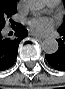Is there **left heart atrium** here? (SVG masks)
I'll return each instance as SVG.
<instances>
[{
	"label": "left heart atrium",
	"mask_w": 65,
	"mask_h": 89,
	"mask_svg": "<svg viewBox=\"0 0 65 89\" xmlns=\"http://www.w3.org/2000/svg\"><path fill=\"white\" fill-rule=\"evenodd\" d=\"M28 25L34 32L46 33L52 28L53 21L48 17H36L29 20Z\"/></svg>",
	"instance_id": "39dd6f15"
}]
</instances>
